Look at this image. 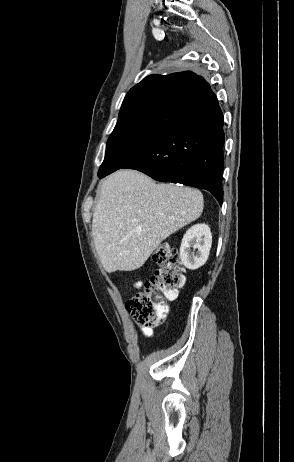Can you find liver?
Instances as JSON below:
<instances>
[{
  "mask_svg": "<svg viewBox=\"0 0 294 462\" xmlns=\"http://www.w3.org/2000/svg\"><path fill=\"white\" fill-rule=\"evenodd\" d=\"M203 212L199 190L156 184L135 170H119L101 184L92 219L105 271L140 268L171 234Z\"/></svg>",
  "mask_w": 294,
  "mask_h": 462,
  "instance_id": "liver-1",
  "label": "liver"
}]
</instances>
